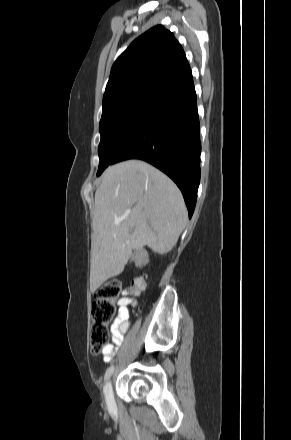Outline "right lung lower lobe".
Returning a JSON list of instances; mask_svg holds the SVG:
<instances>
[{"instance_id": "1", "label": "right lung lower lobe", "mask_w": 291, "mask_h": 440, "mask_svg": "<svg viewBox=\"0 0 291 440\" xmlns=\"http://www.w3.org/2000/svg\"><path fill=\"white\" fill-rule=\"evenodd\" d=\"M199 128L196 92L190 74L155 97L110 165L128 159L154 165L180 188L191 218L200 183Z\"/></svg>"}]
</instances>
